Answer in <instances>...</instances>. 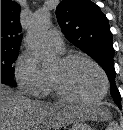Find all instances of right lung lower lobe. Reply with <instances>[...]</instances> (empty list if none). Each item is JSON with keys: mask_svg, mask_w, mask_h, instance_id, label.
<instances>
[{"mask_svg": "<svg viewBox=\"0 0 123 130\" xmlns=\"http://www.w3.org/2000/svg\"><path fill=\"white\" fill-rule=\"evenodd\" d=\"M1 83L6 84V85H10V84H8V83H6V82H4V81H1Z\"/></svg>", "mask_w": 123, "mask_h": 130, "instance_id": "right-lung-lower-lobe-1", "label": "right lung lower lobe"}]
</instances>
